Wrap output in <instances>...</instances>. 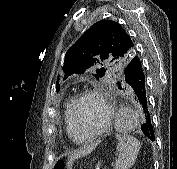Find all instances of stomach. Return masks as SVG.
<instances>
[{"mask_svg":"<svg viewBox=\"0 0 177 169\" xmlns=\"http://www.w3.org/2000/svg\"><path fill=\"white\" fill-rule=\"evenodd\" d=\"M53 169H68V165L66 164V162H64L63 160H57L54 164H53Z\"/></svg>","mask_w":177,"mask_h":169,"instance_id":"1","label":"stomach"}]
</instances>
